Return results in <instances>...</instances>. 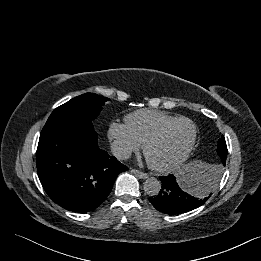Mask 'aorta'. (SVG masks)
I'll list each match as a JSON object with an SVG mask.
<instances>
[{
	"instance_id": "aorta-1",
	"label": "aorta",
	"mask_w": 261,
	"mask_h": 261,
	"mask_svg": "<svg viewBox=\"0 0 261 261\" xmlns=\"http://www.w3.org/2000/svg\"><path fill=\"white\" fill-rule=\"evenodd\" d=\"M143 189L147 195L157 196L161 189V182L154 177H150L145 180Z\"/></svg>"
}]
</instances>
